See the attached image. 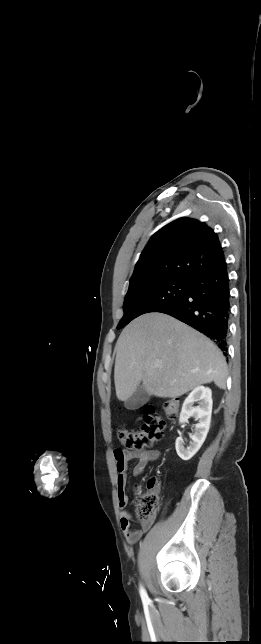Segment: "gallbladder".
<instances>
[{"instance_id":"gallbladder-1","label":"gallbladder","mask_w":261,"mask_h":644,"mask_svg":"<svg viewBox=\"0 0 261 644\" xmlns=\"http://www.w3.org/2000/svg\"><path fill=\"white\" fill-rule=\"evenodd\" d=\"M149 399L150 395L147 393L143 385H139L133 395L125 401L124 406L128 410H136L146 404Z\"/></svg>"}]
</instances>
